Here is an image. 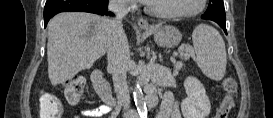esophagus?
Segmentation results:
<instances>
[{"instance_id":"1","label":"esophagus","mask_w":273,"mask_h":118,"mask_svg":"<svg viewBox=\"0 0 273 118\" xmlns=\"http://www.w3.org/2000/svg\"><path fill=\"white\" fill-rule=\"evenodd\" d=\"M137 24L140 28H143V29H148L149 28V23L146 19H143V18H139L137 20Z\"/></svg>"}]
</instances>
